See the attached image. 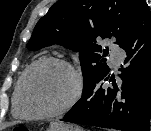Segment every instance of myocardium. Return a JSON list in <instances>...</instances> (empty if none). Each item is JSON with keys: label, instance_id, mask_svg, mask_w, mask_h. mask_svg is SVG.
<instances>
[{"label": "myocardium", "instance_id": "f54148a6", "mask_svg": "<svg viewBox=\"0 0 151 131\" xmlns=\"http://www.w3.org/2000/svg\"><path fill=\"white\" fill-rule=\"evenodd\" d=\"M48 64L59 65L65 68L70 73L73 80L72 91L68 99L59 108H57L54 111L47 112V113L28 112L23 108L22 105L23 95H24L28 78L34 70ZM82 92H83V81H82L81 74L70 62L57 57L42 58L32 63L23 73L20 81L18 93L16 96V109L21 117L28 118V119L43 120V119L55 118L69 111L80 99Z\"/></svg>", "mask_w": 151, "mask_h": 131}]
</instances>
